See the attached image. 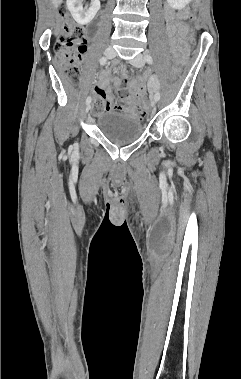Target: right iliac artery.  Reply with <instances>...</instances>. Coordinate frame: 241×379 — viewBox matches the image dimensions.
Segmentation results:
<instances>
[{"label":"right iliac artery","instance_id":"obj_1","mask_svg":"<svg viewBox=\"0 0 241 379\" xmlns=\"http://www.w3.org/2000/svg\"><path fill=\"white\" fill-rule=\"evenodd\" d=\"M107 63V59L105 57L100 58V65H105ZM91 102V97L88 96L86 99V104H89Z\"/></svg>","mask_w":241,"mask_h":379}]
</instances>
